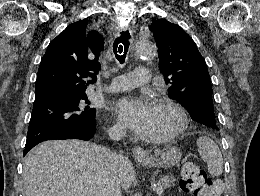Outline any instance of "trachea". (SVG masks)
<instances>
[{
	"label": "trachea",
	"instance_id": "3493384b",
	"mask_svg": "<svg viewBox=\"0 0 260 196\" xmlns=\"http://www.w3.org/2000/svg\"><path fill=\"white\" fill-rule=\"evenodd\" d=\"M129 39L130 33L128 31H121L120 36L117 37L113 42V52L120 64L125 62L126 54L130 45Z\"/></svg>",
	"mask_w": 260,
	"mask_h": 196
}]
</instances>
